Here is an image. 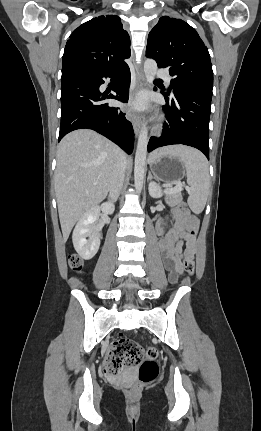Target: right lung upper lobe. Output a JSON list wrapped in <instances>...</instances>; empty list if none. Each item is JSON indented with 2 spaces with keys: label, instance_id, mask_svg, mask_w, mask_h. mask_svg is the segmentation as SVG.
I'll return each mask as SVG.
<instances>
[{
  "label": "right lung upper lobe",
  "instance_id": "1",
  "mask_svg": "<svg viewBox=\"0 0 261 431\" xmlns=\"http://www.w3.org/2000/svg\"><path fill=\"white\" fill-rule=\"evenodd\" d=\"M130 38L116 15L93 18L73 31L66 43L62 73L114 70L127 65Z\"/></svg>",
  "mask_w": 261,
  "mask_h": 431
}]
</instances>
